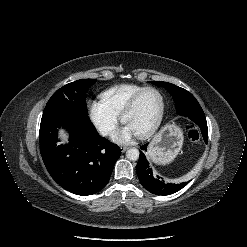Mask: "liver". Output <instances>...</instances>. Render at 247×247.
<instances>
[{
  "label": "liver",
  "instance_id": "liver-1",
  "mask_svg": "<svg viewBox=\"0 0 247 247\" xmlns=\"http://www.w3.org/2000/svg\"><path fill=\"white\" fill-rule=\"evenodd\" d=\"M61 137H62L65 141H67V136H66V134L64 133V131H61Z\"/></svg>",
  "mask_w": 247,
  "mask_h": 247
}]
</instances>
